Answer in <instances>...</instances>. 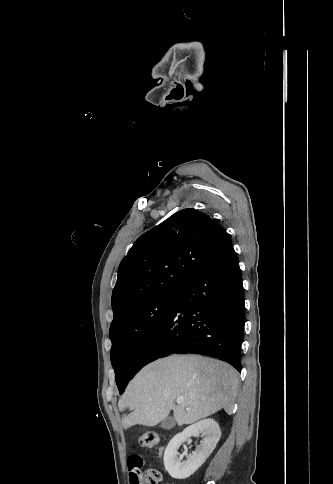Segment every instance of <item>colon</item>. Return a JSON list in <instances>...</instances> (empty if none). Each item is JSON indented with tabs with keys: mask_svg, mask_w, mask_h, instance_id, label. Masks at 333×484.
I'll return each mask as SVG.
<instances>
[{
	"mask_svg": "<svg viewBox=\"0 0 333 484\" xmlns=\"http://www.w3.org/2000/svg\"><path fill=\"white\" fill-rule=\"evenodd\" d=\"M160 441L159 435L156 432H145L140 436L139 443L142 447L151 448L156 446ZM161 481V474L155 469H148L143 475L140 484H159Z\"/></svg>",
	"mask_w": 333,
	"mask_h": 484,
	"instance_id": "1",
	"label": "colon"
}]
</instances>
